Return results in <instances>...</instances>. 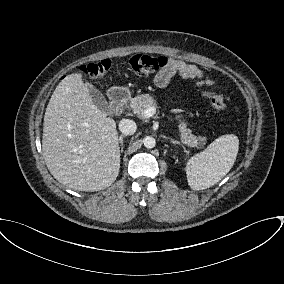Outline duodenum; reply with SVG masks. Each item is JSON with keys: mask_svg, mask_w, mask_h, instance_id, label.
Segmentation results:
<instances>
[{"mask_svg": "<svg viewBox=\"0 0 284 284\" xmlns=\"http://www.w3.org/2000/svg\"><path fill=\"white\" fill-rule=\"evenodd\" d=\"M129 93L122 88H113L109 92L110 107L116 114L122 112L126 101L128 100Z\"/></svg>", "mask_w": 284, "mask_h": 284, "instance_id": "duodenum-1", "label": "duodenum"}]
</instances>
